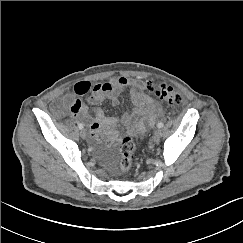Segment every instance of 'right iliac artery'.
<instances>
[{
    "label": "right iliac artery",
    "mask_w": 243,
    "mask_h": 243,
    "mask_svg": "<svg viewBox=\"0 0 243 243\" xmlns=\"http://www.w3.org/2000/svg\"><path fill=\"white\" fill-rule=\"evenodd\" d=\"M78 128H79V129H83V128H84L83 124L79 123V124H78Z\"/></svg>",
    "instance_id": "1"
}]
</instances>
